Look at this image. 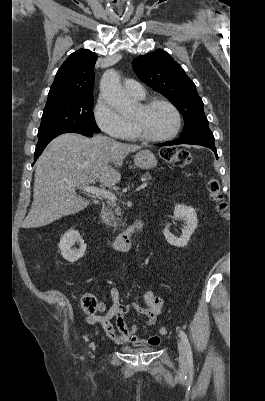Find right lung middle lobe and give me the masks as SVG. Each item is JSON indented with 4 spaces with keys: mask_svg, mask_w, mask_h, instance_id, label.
Masks as SVG:
<instances>
[{
    "mask_svg": "<svg viewBox=\"0 0 265 401\" xmlns=\"http://www.w3.org/2000/svg\"><path fill=\"white\" fill-rule=\"evenodd\" d=\"M93 96L72 98L45 106L38 138L63 129L88 133L100 132L92 112Z\"/></svg>",
    "mask_w": 265,
    "mask_h": 401,
    "instance_id": "dd1d6c3e",
    "label": "right lung middle lobe"
}]
</instances>
